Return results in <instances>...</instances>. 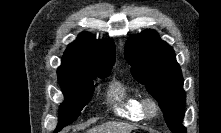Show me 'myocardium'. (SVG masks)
Here are the masks:
<instances>
[{"label":"myocardium","mask_w":221,"mask_h":133,"mask_svg":"<svg viewBox=\"0 0 221 133\" xmlns=\"http://www.w3.org/2000/svg\"><path fill=\"white\" fill-rule=\"evenodd\" d=\"M141 110L147 119L156 118L160 112L158 102L152 97H144L141 100Z\"/></svg>","instance_id":"myocardium-1"}]
</instances>
